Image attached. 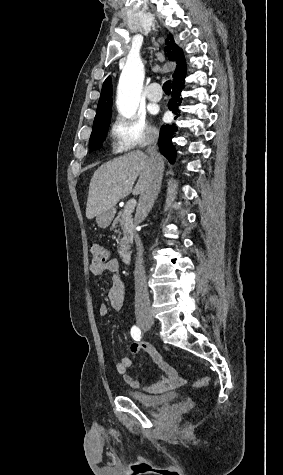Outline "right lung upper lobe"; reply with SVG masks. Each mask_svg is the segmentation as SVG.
Masks as SVG:
<instances>
[{
	"mask_svg": "<svg viewBox=\"0 0 283 475\" xmlns=\"http://www.w3.org/2000/svg\"><path fill=\"white\" fill-rule=\"evenodd\" d=\"M166 47L165 50L167 51V56L171 61H176L177 67L176 71L173 74V79L177 76L186 72V63L183 56L182 50L178 48V46L174 43L173 37L169 35L168 39L166 40ZM104 105H112V80L111 77H108L102 86L100 99L98 102V106Z\"/></svg>",
	"mask_w": 283,
	"mask_h": 475,
	"instance_id": "right-lung-upper-lobe-1",
	"label": "right lung upper lobe"
}]
</instances>
